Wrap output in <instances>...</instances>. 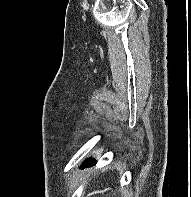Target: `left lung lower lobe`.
Returning <instances> with one entry per match:
<instances>
[{
	"mask_svg": "<svg viewBox=\"0 0 191 197\" xmlns=\"http://www.w3.org/2000/svg\"><path fill=\"white\" fill-rule=\"evenodd\" d=\"M95 163H96L95 160L90 159V162L85 161L84 167H89V166H91V165H94Z\"/></svg>",
	"mask_w": 191,
	"mask_h": 197,
	"instance_id": "0a47b994",
	"label": "left lung lower lobe"
}]
</instances>
